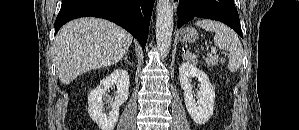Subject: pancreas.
Instances as JSON below:
<instances>
[{"label":"pancreas","instance_id":"pancreas-1","mask_svg":"<svg viewBox=\"0 0 299 130\" xmlns=\"http://www.w3.org/2000/svg\"><path fill=\"white\" fill-rule=\"evenodd\" d=\"M223 60L221 58H219L218 56L216 55H208L206 58H205V62L208 66L212 67V66H215L217 65L219 62H222Z\"/></svg>","mask_w":299,"mask_h":130}]
</instances>
